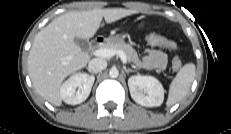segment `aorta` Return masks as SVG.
<instances>
[{"mask_svg":"<svg viewBox=\"0 0 231 134\" xmlns=\"http://www.w3.org/2000/svg\"><path fill=\"white\" fill-rule=\"evenodd\" d=\"M109 76L111 78H117L119 76V71L117 68H112L110 71H109Z\"/></svg>","mask_w":231,"mask_h":134,"instance_id":"762f6f07","label":"aorta"}]
</instances>
